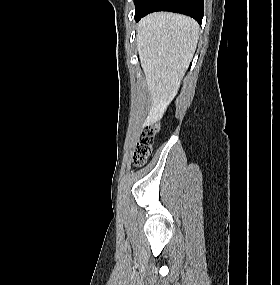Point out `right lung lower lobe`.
I'll return each mask as SVG.
<instances>
[{
  "instance_id": "98d812e1",
  "label": "right lung lower lobe",
  "mask_w": 280,
  "mask_h": 285,
  "mask_svg": "<svg viewBox=\"0 0 280 285\" xmlns=\"http://www.w3.org/2000/svg\"><path fill=\"white\" fill-rule=\"evenodd\" d=\"M155 11H171L193 17L199 24L204 14L203 0H142L135 12V20Z\"/></svg>"
}]
</instances>
